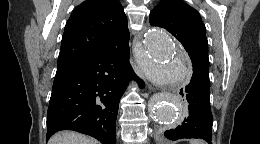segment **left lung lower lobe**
Segmentation results:
<instances>
[{"instance_id": "obj_1", "label": "left lung lower lobe", "mask_w": 260, "mask_h": 144, "mask_svg": "<svg viewBox=\"0 0 260 144\" xmlns=\"http://www.w3.org/2000/svg\"><path fill=\"white\" fill-rule=\"evenodd\" d=\"M193 75L190 83L180 90L188 103L189 114L174 129L165 132L170 140L201 138L211 144L213 116L210 108L209 62L192 56Z\"/></svg>"}]
</instances>
